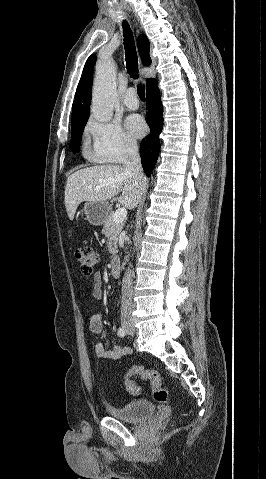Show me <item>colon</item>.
I'll return each mask as SVG.
<instances>
[{"mask_svg":"<svg viewBox=\"0 0 266 479\" xmlns=\"http://www.w3.org/2000/svg\"><path fill=\"white\" fill-rule=\"evenodd\" d=\"M74 257L79 265L81 274L84 276H90L99 261L98 253L88 246L76 248ZM133 376H138L143 380L150 381L154 391L153 397L158 403L165 404L170 402L168 391L163 388L160 375L157 371L134 366L125 372L123 376L124 386L129 393L136 395L140 392V387L133 382Z\"/></svg>","mask_w":266,"mask_h":479,"instance_id":"1","label":"colon"}]
</instances>
